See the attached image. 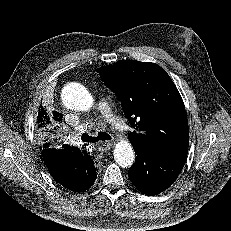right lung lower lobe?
Wrapping results in <instances>:
<instances>
[{
	"label": "right lung lower lobe",
	"instance_id": "1",
	"mask_svg": "<svg viewBox=\"0 0 231 231\" xmlns=\"http://www.w3.org/2000/svg\"><path fill=\"white\" fill-rule=\"evenodd\" d=\"M83 155H79L76 159L77 162H79L81 165H87V167L85 168L84 166H82L83 170H85L83 172V176L80 180V182L74 186V190L76 192H82L85 191L86 189H88L95 181L96 179V175H95V166H94V161L92 159V157H90L86 151H83ZM51 153H48V156H51ZM56 154H54L55 157ZM83 156V157H82ZM44 158V156H43ZM58 182V181H57ZM68 189V188H67ZM71 190V189H69Z\"/></svg>",
	"mask_w": 231,
	"mask_h": 231
}]
</instances>
